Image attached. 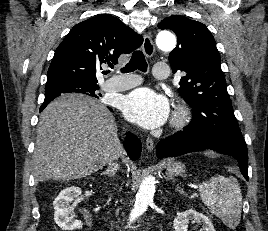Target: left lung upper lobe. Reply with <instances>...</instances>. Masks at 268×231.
I'll use <instances>...</instances> for the list:
<instances>
[{
	"mask_svg": "<svg viewBox=\"0 0 268 231\" xmlns=\"http://www.w3.org/2000/svg\"><path fill=\"white\" fill-rule=\"evenodd\" d=\"M158 27L173 30L178 38L169 54L173 72L181 70L180 96L192 107L193 118L185 130L217 136L246 146L227 92L220 55L207 27L184 16L172 15Z\"/></svg>",
	"mask_w": 268,
	"mask_h": 231,
	"instance_id": "obj_1",
	"label": "left lung upper lobe"
}]
</instances>
